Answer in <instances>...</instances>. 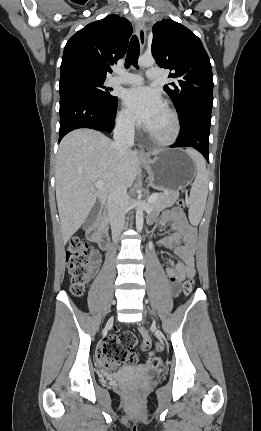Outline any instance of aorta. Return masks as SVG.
I'll use <instances>...</instances> for the list:
<instances>
[{"mask_svg":"<svg viewBox=\"0 0 261 431\" xmlns=\"http://www.w3.org/2000/svg\"><path fill=\"white\" fill-rule=\"evenodd\" d=\"M154 58L152 56L144 55L138 59V65L141 67H151L154 64ZM143 228V210L140 206L136 208V229L141 232Z\"/></svg>","mask_w":261,"mask_h":431,"instance_id":"1","label":"aorta"}]
</instances>
